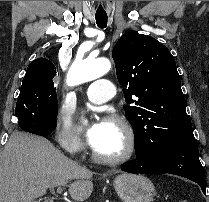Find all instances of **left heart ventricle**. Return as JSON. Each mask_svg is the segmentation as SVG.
Returning <instances> with one entry per match:
<instances>
[{
  "label": "left heart ventricle",
  "mask_w": 209,
  "mask_h": 202,
  "mask_svg": "<svg viewBox=\"0 0 209 202\" xmlns=\"http://www.w3.org/2000/svg\"><path fill=\"white\" fill-rule=\"evenodd\" d=\"M125 145L122 129L117 124L106 121L101 140L93 148L102 155L115 156L124 150Z\"/></svg>",
  "instance_id": "b2bd125f"
}]
</instances>
